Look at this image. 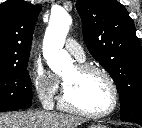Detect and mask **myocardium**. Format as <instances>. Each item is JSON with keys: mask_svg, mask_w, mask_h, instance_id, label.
Returning a JSON list of instances; mask_svg holds the SVG:
<instances>
[{"mask_svg": "<svg viewBox=\"0 0 142 128\" xmlns=\"http://www.w3.org/2000/svg\"><path fill=\"white\" fill-rule=\"evenodd\" d=\"M75 67L81 73H99L107 80L108 84L110 85L112 95H113L112 105L108 110L104 112H99V113H93V112L82 110L70 102L67 89L65 85H63L62 95H61L60 102H59L60 106L64 110L70 113H73L75 115H79L85 118H90V119H100V118H105L111 115L117 109L119 105V91H118V87L113 77L110 75L108 71H106L104 68L97 66V65L79 63Z\"/></svg>", "mask_w": 142, "mask_h": 128, "instance_id": "myocardium-1", "label": "myocardium"}]
</instances>
